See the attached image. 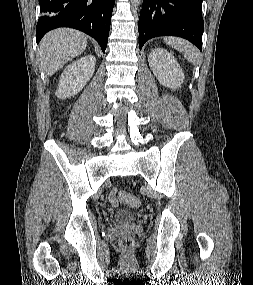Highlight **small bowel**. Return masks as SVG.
<instances>
[{"mask_svg":"<svg viewBox=\"0 0 253 285\" xmlns=\"http://www.w3.org/2000/svg\"><path fill=\"white\" fill-rule=\"evenodd\" d=\"M110 203L114 206L118 204V200L116 198V189L112 190L110 194Z\"/></svg>","mask_w":253,"mask_h":285,"instance_id":"c3829d8e","label":"small bowel"}]
</instances>
